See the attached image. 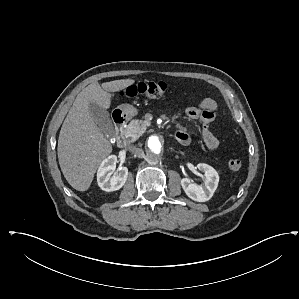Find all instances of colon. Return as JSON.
<instances>
[{
	"label": "colon",
	"instance_id": "5ec220e1",
	"mask_svg": "<svg viewBox=\"0 0 299 299\" xmlns=\"http://www.w3.org/2000/svg\"><path fill=\"white\" fill-rule=\"evenodd\" d=\"M167 90V85L162 81H142L132 84L122 91V95L127 97H150L156 98L163 95ZM228 166L231 170H239L242 166L241 160L230 159Z\"/></svg>",
	"mask_w": 299,
	"mask_h": 299
}]
</instances>
